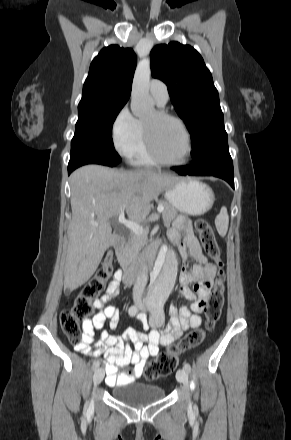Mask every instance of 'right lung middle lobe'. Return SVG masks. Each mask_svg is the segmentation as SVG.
<instances>
[{
    "instance_id": "1",
    "label": "right lung middle lobe",
    "mask_w": 291,
    "mask_h": 440,
    "mask_svg": "<svg viewBox=\"0 0 291 440\" xmlns=\"http://www.w3.org/2000/svg\"><path fill=\"white\" fill-rule=\"evenodd\" d=\"M125 104L111 101L79 104L70 156L93 155L119 164L121 158L113 146L112 125Z\"/></svg>"
}]
</instances>
